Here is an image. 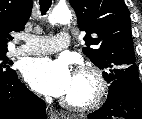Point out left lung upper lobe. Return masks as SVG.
I'll use <instances>...</instances> for the list:
<instances>
[{
  "label": "left lung upper lobe",
  "instance_id": "obj_1",
  "mask_svg": "<svg viewBox=\"0 0 142 119\" xmlns=\"http://www.w3.org/2000/svg\"><path fill=\"white\" fill-rule=\"evenodd\" d=\"M80 30L86 31L84 54L112 82L137 75L130 13L123 0H70Z\"/></svg>",
  "mask_w": 142,
  "mask_h": 119
}]
</instances>
